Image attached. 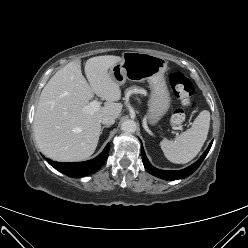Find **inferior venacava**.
<instances>
[{"mask_svg": "<svg viewBox=\"0 0 248 248\" xmlns=\"http://www.w3.org/2000/svg\"><path fill=\"white\" fill-rule=\"evenodd\" d=\"M101 122L102 124H105V125H112L115 123V117L111 115H105L102 117Z\"/></svg>", "mask_w": 248, "mask_h": 248, "instance_id": "602c4592", "label": "inferior vena cava"}]
</instances>
